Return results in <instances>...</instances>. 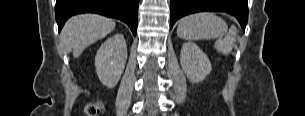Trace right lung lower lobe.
Wrapping results in <instances>:
<instances>
[{
  "instance_id": "1",
  "label": "right lung lower lobe",
  "mask_w": 305,
  "mask_h": 116,
  "mask_svg": "<svg viewBox=\"0 0 305 116\" xmlns=\"http://www.w3.org/2000/svg\"><path fill=\"white\" fill-rule=\"evenodd\" d=\"M138 5L139 0H56L55 16L59 32L69 17L92 12L122 20L136 35Z\"/></svg>"
}]
</instances>
